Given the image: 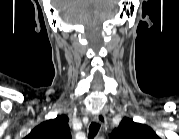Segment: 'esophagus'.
Returning <instances> with one entry per match:
<instances>
[{
  "instance_id": "34e87169",
  "label": "esophagus",
  "mask_w": 179,
  "mask_h": 139,
  "mask_svg": "<svg viewBox=\"0 0 179 139\" xmlns=\"http://www.w3.org/2000/svg\"><path fill=\"white\" fill-rule=\"evenodd\" d=\"M93 120L101 125L106 124V117L104 113H98L94 116Z\"/></svg>"
}]
</instances>
